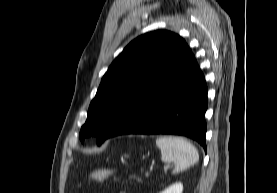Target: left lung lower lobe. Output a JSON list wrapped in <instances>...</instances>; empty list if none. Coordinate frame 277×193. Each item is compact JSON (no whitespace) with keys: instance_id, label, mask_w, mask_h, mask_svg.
<instances>
[{"instance_id":"obj_1","label":"left lung lower lobe","mask_w":277,"mask_h":193,"mask_svg":"<svg viewBox=\"0 0 277 193\" xmlns=\"http://www.w3.org/2000/svg\"><path fill=\"white\" fill-rule=\"evenodd\" d=\"M206 110V82L192 54L173 75L139 100L108 138L124 134L183 135L206 150Z\"/></svg>"}]
</instances>
